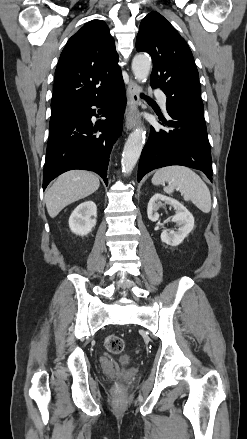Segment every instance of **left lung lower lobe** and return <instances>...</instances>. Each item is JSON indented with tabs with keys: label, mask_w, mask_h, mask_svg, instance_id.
I'll return each instance as SVG.
<instances>
[{
	"label": "left lung lower lobe",
	"mask_w": 247,
	"mask_h": 439,
	"mask_svg": "<svg viewBox=\"0 0 247 439\" xmlns=\"http://www.w3.org/2000/svg\"><path fill=\"white\" fill-rule=\"evenodd\" d=\"M167 111L170 120L159 118L167 128L151 127L139 161L138 182L146 173L170 165L201 170L212 181V159L204 117Z\"/></svg>",
	"instance_id": "obj_1"
}]
</instances>
